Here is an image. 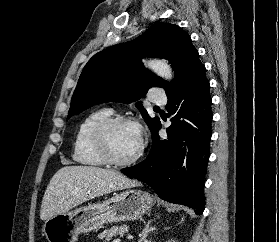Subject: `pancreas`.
I'll return each mask as SVG.
<instances>
[{
  "mask_svg": "<svg viewBox=\"0 0 279 242\" xmlns=\"http://www.w3.org/2000/svg\"><path fill=\"white\" fill-rule=\"evenodd\" d=\"M129 230V226L121 225V226H114L110 229L104 230L102 233L98 234V238L104 240V242H109L113 239V237L120 236L123 237L125 233Z\"/></svg>",
  "mask_w": 279,
  "mask_h": 242,
  "instance_id": "cf45deb5",
  "label": "pancreas"
}]
</instances>
